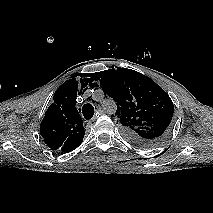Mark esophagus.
Masks as SVG:
<instances>
[{
  "label": "esophagus",
  "instance_id": "34e87169",
  "mask_svg": "<svg viewBox=\"0 0 213 213\" xmlns=\"http://www.w3.org/2000/svg\"><path fill=\"white\" fill-rule=\"evenodd\" d=\"M104 113H105V110H104L100 105H98V106L96 107V116L93 117V118L91 119V121L93 122V121H95V120L97 119V114H104ZM91 121H90V123H91Z\"/></svg>",
  "mask_w": 213,
  "mask_h": 213
}]
</instances>
